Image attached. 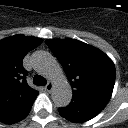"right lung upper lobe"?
I'll return each mask as SVG.
<instances>
[{"mask_svg":"<svg viewBox=\"0 0 128 128\" xmlns=\"http://www.w3.org/2000/svg\"><path fill=\"white\" fill-rule=\"evenodd\" d=\"M41 42L40 38L21 34L0 40V117L38 95L26 82L22 61Z\"/></svg>","mask_w":128,"mask_h":128,"instance_id":"right-lung-upper-lobe-1","label":"right lung upper lobe"}]
</instances>
